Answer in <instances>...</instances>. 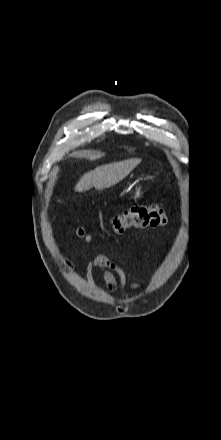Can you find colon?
<instances>
[{
  "label": "colon",
  "instance_id": "1",
  "mask_svg": "<svg viewBox=\"0 0 221 440\" xmlns=\"http://www.w3.org/2000/svg\"><path fill=\"white\" fill-rule=\"evenodd\" d=\"M165 224L166 216L161 207L157 205L134 206L112 219L110 231L120 235L132 229L158 228ZM77 234L82 238H88V233L83 228H78Z\"/></svg>",
  "mask_w": 221,
  "mask_h": 440
}]
</instances>
